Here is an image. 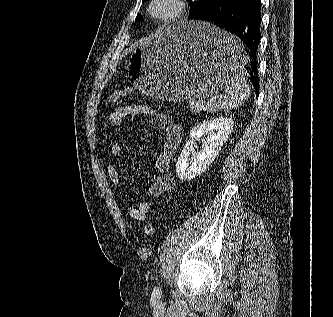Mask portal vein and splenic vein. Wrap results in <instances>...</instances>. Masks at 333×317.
<instances>
[{
  "mask_svg": "<svg viewBox=\"0 0 333 317\" xmlns=\"http://www.w3.org/2000/svg\"><path fill=\"white\" fill-rule=\"evenodd\" d=\"M199 103H200V102L190 101V102H189V105H190V106H193V105H199ZM207 103H208V104H211L212 102H211V101H208Z\"/></svg>",
  "mask_w": 333,
  "mask_h": 317,
  "instance_id": "portal-vein-and-splenic-vein-1",
  "label": "portal vein and splenic vein"
}]
</instances>
